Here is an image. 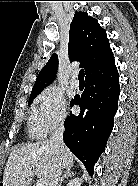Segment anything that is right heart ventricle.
<instances>
[{"label": "right heart ventricle", "instance_id": "right-heart-ventricle-1", "mask_svg": "<svg viewBox=\"0 0 138 186\" xmlns=\"http://www.w3.org/2000/svg\"><path fill=\"white\" fill-rule=\"evenodd\" d=\"M28 127L29 133L34 137H43L45 135L38 124L35 107L31 111L28 121Z\"/></svg>", "mask_w": 138, "mask_h": 186}]
</instances>
